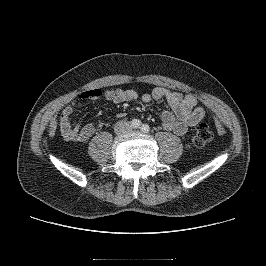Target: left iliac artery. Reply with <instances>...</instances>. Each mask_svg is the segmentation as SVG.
<instances>
[{
    "mask_svg": "<svg viewBox=\"0 0 266 266\" xmlns=\"http://www.w3.org/2000/svg\"><path fill=\"white\" fill-rule=\"evenodd\" d=\"M140 129H141L142 132L146 133V132H149L150 127L147 124H143Z\"/></svg>",
    "mask_w": 266,
    "mask_h": 266,
    "instance_id": "obj_1",
    "label": "left iliac artery"
}]
</instances>
